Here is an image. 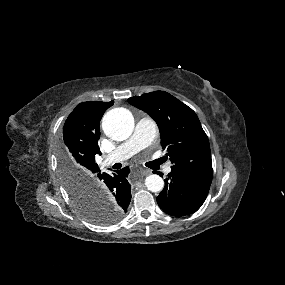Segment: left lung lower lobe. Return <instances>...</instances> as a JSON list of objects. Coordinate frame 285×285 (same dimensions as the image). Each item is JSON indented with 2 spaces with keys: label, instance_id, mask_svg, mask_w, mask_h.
<instances>
[{
  "label": "left lung lower lobe",
  "instance_id": "0a47b994",
  "mask_svg": "<svg viewBox=\"0 0 285 285\" xmlns=\"http://www.w3.org/2000/svg\"><path fill=\"white\" fill-rule=\"evenodd\" d=\"M211 182L212 177L172 170L165 179V187L157 197V203L169 215L192 214L204 203Z\"/></svg>",
  "mask_w": 285,
  "mask_h": 285
}]
</instances>
